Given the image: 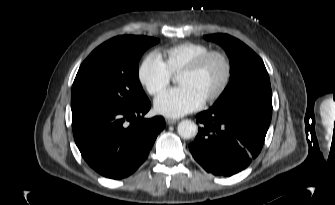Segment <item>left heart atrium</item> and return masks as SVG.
Instances as JSON below:
<instances>
[{"mask_svg": "<svg viewBox=\"0 0 335 205\" xmlns=\"http://www.w3.org/2000/svg\"><path fill=\"white\" fill-rule=\"evenodd\" d=\"M204 99L192 88L180 86L164 91L154 102L156 112L168 117H181L199 109Z\"/></svg>", "mask_w": 335, "mask_h": 205, "instance_id": "obj_1", "label": "left heart atrium"}]
</instances>
